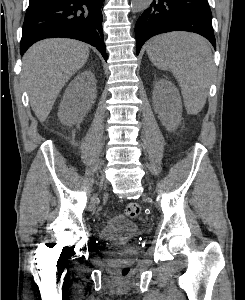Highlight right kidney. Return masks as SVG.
<instances>
[{"label": "right kidney", "mask_w": 245, "mask_h": 300, "mask_svg": "<svg viewBox=\"0 0 245 300\" xmlns=\"http://www.w3.org/2000/svg\"><path fill=\"white\" fill-rule=\"evenodd\" d=\"M96 98V80L90 70L77 75L69 84L61 101L58 117L64 125L83 120Z\"/></svg>", "instance_id": "ca27d5eb"}]
</instances>
